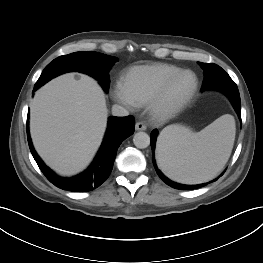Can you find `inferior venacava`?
<instances>
[{
	"instance_id": "inferior-vena-cava-1",
	"label": "inferior vena cava",
	"mask_w": 263,
	"mask_h": 263,
	"mask_svg": "<svg viewBox=\"0 0 263 263\" xmlns=\"http://www.w3.org/2000/svg\"><path fill=\"white\" fill-rule=\"evenodd\" d=\"M112 114L114 116L124 117L127 116L129 112L124 107L115 104L112 106Z\"/></svg>"
}]
</instances>
